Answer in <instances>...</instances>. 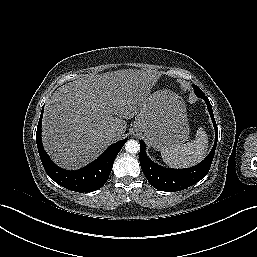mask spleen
Instances as JSON below:
<instances>
[{
  "label": "spleen",
  "mask_w": 257,
  "mask_h": 257,
  "mask_svg": "<svg viewBox=\"0 0 257 257\" xmlns=\"http://www.w3.org/2000/svg\"><path fill=\"white\" fill-rule=\"evenodd\" d=\"M208 137L202 127L198 128L196 137L186 144H176L161 150L163 161L171 167L186 168L203 160L207 153Z\"/></svg>",
  "instance_id": "1"
}]
</instances>
